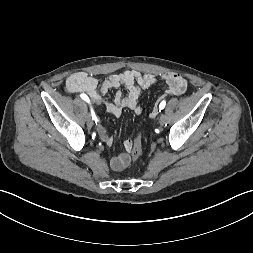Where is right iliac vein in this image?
<instances>
[{
  "mask_svg": "<svg viewBox=\"0 0 253 253\" xmlns=\"http://www.w3.org/2000/svg\"><path fill=\"white\" fill-rule=\"evenodd\" d=\"M87 124L88 126L92 127L94 125L93 119L91 118V116L87 117Z\"/></svg>",
  "mask_w": 253,
  "mask_h": 253,
  "instance_id": "right-iliac-vein-1",
  "label": "right iliac vein"
}]
</instances>
